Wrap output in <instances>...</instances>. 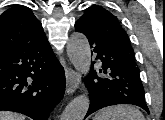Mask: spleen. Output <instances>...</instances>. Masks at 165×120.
I'll use <instances>...</instances> for the list:
<instances>
[{
	"instance_id": "obj_1",
	"label": "spleen",
	"mask_w": 165,
	"mask_h": 120,
	"mask_svg": "<svg viewBox=\"0 0 165 120\" xmlns=\"http://www.w3.org/2000/svg\"><path fill=\"white\" fill-rule=\"evenodd\" d=\"M93 120H145L141 111L130 105H115L100 110Z\"/></svg>"
}]
</instances>
